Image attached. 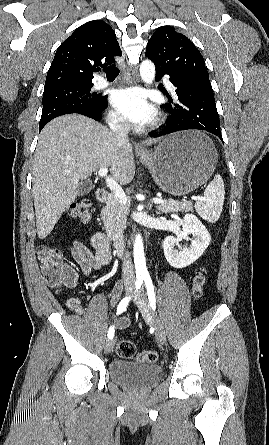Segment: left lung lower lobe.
<instances>
[{
	"label": "left lung lower lobe",
	"instance_id": "1",
	"mask_svg": "<svg viewBox=\"0 0 269 445\" xmlns=\"http://www.w3.org/2000/svg\"><path fill=\"white\" fill-rule=\"evenodd\" d=\"M165 74L167 73L156 69V81ZM170 81L176 87V100L168 95V102L162 105L169 114L168 123L152 137L198 129L208 131L221 139L220 121L209 78L170 76Z\"/></svg>",
	"mask_w": 269,
	"mask_h": 445
}]
</instances>
